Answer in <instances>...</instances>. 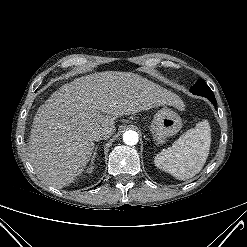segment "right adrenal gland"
<instances>
[{
    "mask_svg": "<svg viewBox=\"0 0 247 247\" xmlns=\"http://www.w3.org/2000/svg\"><path fill=\"white\" fill-rule=\"evenodd\" d=\"M97 149H98V145H96L95 151H94V153H93V157H92V159H91L90 170L93 168V167H92V164H94V161H95V158H96V155H97Z\"/></svg>",
    "mask_w": 247,
    "mask_h": 247,
    "instance_id": "obj_1",
    "label": "right adrenal gland"
}]
</instances>
